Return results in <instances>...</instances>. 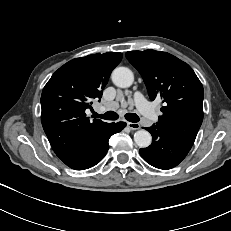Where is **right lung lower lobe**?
<instances>
[{"instance_id":"obj_1","label":"right lung lower lobe","mask_w":231,"mask_h":231,"mask_svg":"<svg viewBox=\"0 0 231 231\" xmlns=\"http://www.w3.org/2000/svg\"><path fill=\"white\" fill-rule=\"evenodd\" d=\"M126 126L125 122L110 124L105 133L92 140L82 151L79 157L68 166L75 170H83L93 167L106 155L111 135L120 132Z\"/></svg>"}]
</instances>
